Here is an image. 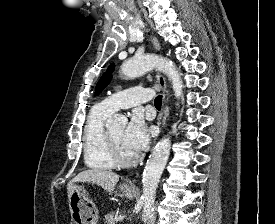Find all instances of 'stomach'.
Segmentation results:
<instances>
[{
    "label": "stomach",
    "mask_w": 275,
    "mask_h": 224,
    "mask_svg": "<svg viewBox=\"0 0 275 224\" xmlns=\"http://www.w3.org/2000/svg\"><path fill=\"white\" fill-rule=\"evenodd\" d=\"M120 192L129 199H132L136 192L126 184L119 186ZM69 209L74 224H97L98 209L88 198L83 186L73 185L69 196Z\"/></svg>",
    "instance_id": "stomach-1"
}]
</instances>
